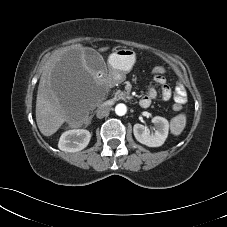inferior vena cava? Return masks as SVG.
I'll return each instance as SVG.
<instances>
[{
  "label": "inferior vena cava",
  "mask_w": 227,
  "mask_h": 227,
  "mask_svg": "<svg viewBox=\"0 0 227 227\" xmlns=\"http://www.w3.org/2000/svg\"><path fill=\"white\" fill-rule=\"evenodd\" d=\"M110 106L104 105L102 104L101 106L98 107L97 111H96V116L97 118L101 119L105 116L109 115L110 112Z\"/></svg>",
  "instance_id": "1"
}]
</instances>
